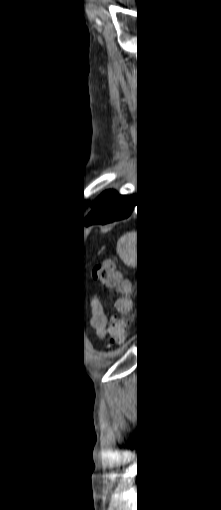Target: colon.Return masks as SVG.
Wrapping results in <instances>:
<instances>
[{
	"label": "colon",
	"mask_w": 221,
	"mask_h": 510,
	"mask_svg": "<svg viewBox=\"0 0 221 510\" xmlns=\"http://www.w3.org/2000/svg\"><path fill=\"white\" fill-rule=\"evenodd\" d=\"M93 281L102 287L113 288L119 284V276L107 262L95 264L92 269ZM128 328L119 319H115L110 327V338L114 344H122L128 337Z\"/></svg>",
	"instance_id": "1"
}]
</instances>
